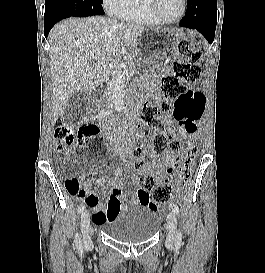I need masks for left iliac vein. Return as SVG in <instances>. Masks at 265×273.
Wrapping results in <instances>:
<instances>
[{
	"instance_id": "1",
	"label": "left iliac vein",
	"mask_w": 265,
	"mask_h": 273,
	"mask_svg": "<svg viewBox=\"0 0 265 273\" xmlns=\"http://www.w3.org/2000/svg\"><path fill=\"white\" fill-rule=\"evenodd\" d=\"M168 224V236L166 239V246L172 248L175 242L176 229H177V219L173 212H170L167 216Z\"/></svg>"
}]
</instances>
